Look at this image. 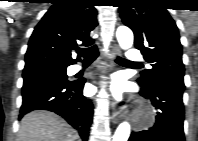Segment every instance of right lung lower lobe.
<instances>
[{"label": "right lung lower lobe", "instance_id": "1", "mask_svg": "<svg viewBox=\"0 0 198 141\" xmlns=\"http://www.w3.org/2000/svg\"><path fill=\"white\" fill-rule=\"evenodd\" d=\"M84 84V79L68 81L67 78L56 75L24 79L19 117L22 118L33 110L55 112L79 129L80 136L86 141L92 122L93 105L90 99L83 96Z\"/></svg>", "mask_w": 198, "mask_h": 141}]
</instances>
